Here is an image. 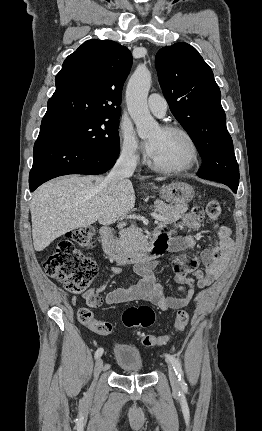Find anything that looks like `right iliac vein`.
<instances>
[{
	"mask_svg": "<svg viewBox=\"0 0 262 431\" xmlns=\"http://www.w3.org/2000/svg\"><path fill=\"white\" fill-rule=\"evenodd\" d=\"M102 368H103V360L101 358H98L96 360L95 367H94V373L96 377L100 374V372L102 371Z\"/></svg>",
	"mask_w": 262,
	"mask_h": 431,
	"instance_id": "1",
	"label": "right iliac vein"
}]
</instances>
